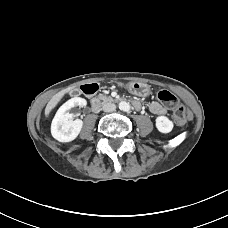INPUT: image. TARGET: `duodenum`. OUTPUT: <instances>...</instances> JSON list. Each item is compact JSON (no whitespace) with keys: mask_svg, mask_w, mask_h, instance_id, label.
I'll return each mask as SVG.
<instances>
[{"mask_svg":"<svg viewBox=\"0 0 228 228\" xmlns=\"http://www.w3.org/2000/svg\"><path fill=\"white\" fill-rule=\"evenodd\" d=\"M83 93L91 99V105L94 110H98L101 101L95 96L98 91V86L96 84H87L82 87Z\"/></svg>","mask_w":228,"mask_h":228,"instance_id":"obj_1","label":"duodenum"}]
</instances>
